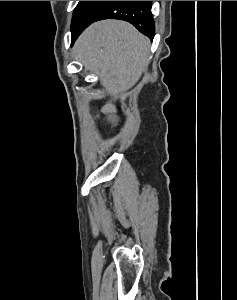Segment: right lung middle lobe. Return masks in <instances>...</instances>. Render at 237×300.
Masks as SVG:
<instances>
[{
  "instance_id": "right-lung-middle-lobe-1",
  "label": "right lung middle lobe",
  "mask_w": 237,
  "mask_h": 300,
  "mask_svg": "<svg viewBox=\"0 0 237 300\" xmlns=\"http://www.w3.org/2000/svg\"><path fill=\"white\" fill-rule=\"evenodd\" d=\"M114 1H79L71 23L72 41L74 35L84 30L113 3Z\"/></svg>"
}]
</instances>
